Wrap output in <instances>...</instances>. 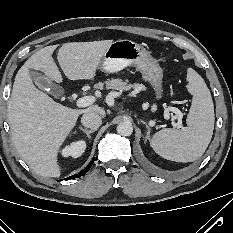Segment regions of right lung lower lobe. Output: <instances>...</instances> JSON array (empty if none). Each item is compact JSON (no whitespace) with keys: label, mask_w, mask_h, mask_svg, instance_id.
Listing matches in <instances>:
<instances>
[{"label":"right lung lower lobe","mask_w":233,"mask_h":233,"mask_svg":"<svg viewBox=\"0 0 233 233\" xmlns=\"http://www.w3.org/2000/svg\"><path fill=\"white\" fill-rule=\"evenodd\" d=\"M93 162H94V160H92V161L89 163V165H88L82 172H80V173H78V174H75V175H72V176L66 178V180H68V179H74V178H78V177H80V176H83V175L86 174V173L88 172V170L91 168Z\"/></svg>","instance_id":"right-lung-lower-lobe-1"}]
</instances>
